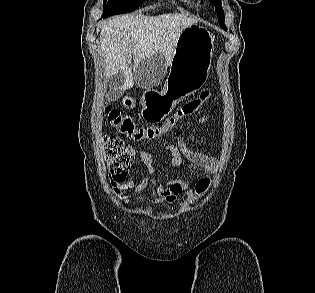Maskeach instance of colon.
<instances>
[{"label": "colon", "mask_w": 315, "mask_h": 293, "mask_svg": "<svg viewBox=\"0 0 315 293\" xmlns=\"http://www.w3.org/2000/svg\"><path fill=\"white\" fill-rule=\"evenodd\" d=\"M209 91L201 92L197 97L184 103L177 111L160 126L138 127L132 118L123 115L117 109H106V117L113 127L128 138L141 141L152 140L171 131L183 118L195 113L209 98ZM104 150L109 166L110 178L114 183L122 182L126 176L131 157L128 154L123 141L117 136H107L104 139ZM210 180L201 179L195 186L196 197H201L209 188Z\"/></svg>", "instance_id": "colon-1"}]
</instances>
